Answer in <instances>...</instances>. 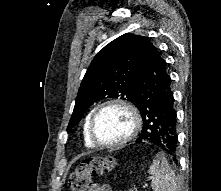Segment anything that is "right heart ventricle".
Listing matches in <instances>:
<instances>
[{
  "mask_svg": "<svg viewBox=\"0 0 221 191\" xmlns=\"http://www.w3.org/2000/svg\"><path fill=\"white\" fill-rule=\"evenodd\" d=\"M90 116H91V113H89L87 115V117L85 118V121H84V125H83V140H84V144L87 147L93 148V147H96V145L91 141L90 136H89V131H88V125H89Z\"/></svg>",
  "mask_w": 221,
  "mask_h": 191,
  "instance_id": "right-heart-ventricle-1",
  "label": "right heart ventricle"
}]
</instances>
